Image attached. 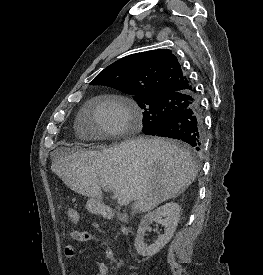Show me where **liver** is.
Here are the masks:
<instances>
[{"mask_svg": "<svg viewBox=\"0 0 263 275\" xmlns=\"http://www.w3.org/2000/svg\"><path fill=\"white\" fill-rule=\"evenodd\" d=\"M51 170L71 190L100 198V183L130 196L133 213L149 212L184 192L197 176L191 153L159 138H134L102 151L60 150Z\"/></svg>", "mask_w": 263, "mask_h": 275, "instance_id": "1", "label": "liver"}]
</instances>
